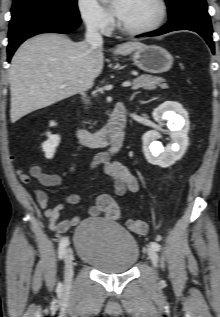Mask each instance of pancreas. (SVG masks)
Here are the masks:
<instances>
[{"instance_id":"1","label":"pancreas","mask_w":220,"mask_h":317,"mask_svg":"<svg viewBox=\"0 0 220 317\" xmlns=\"http://www.w3.org/2000/svg\"><path fill=\"white\" fill-rule=\"evenodd\" d=\"M163 82L165 80L161 77H154L151 75H140L136 79L133 80V89L144 88L148 90L156 89L157 85L162 86L164 85Z\"/></svg>"}]
</instances>
